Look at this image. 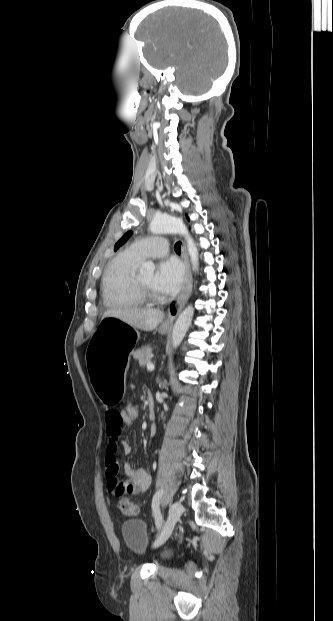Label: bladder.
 <instances>
[{
  "label": "bladder",
  "mask_w": 333,
  "mask_h": 621,
  "mask_svg": "<svg viewBox=\"0 0 333 621\" xmlns=\"http://www.w3.org/2000/svg\"><path fill=\"white\" fill-rule=\"evenodd\" d=\"M121 534L125 547L133 554L139 557L153 556L160 561H165L169 558L170 553L167 549L157 553L151 550L150 537L144 521L138 519L126 520L122 523Z\"/></svg>",
  "instance_id": "31cf9c89"
}]
</instances>
